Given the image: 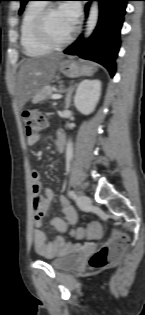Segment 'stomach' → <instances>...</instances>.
<instances>
[{
    "label": "stomach",
    "instance_id": "0dacf381",
    "mask_svg": "<svg viewBox=\"0 0 145 315\" xmlns=\"http://www.w3.org/2000/svg\"><path fill=\"white\" fill-rule=\"evenodd\" d=\"M69 70L71 71V74L67 77L74 78L82 75H91L94 73L95 68L89 63L82 64L77 61L70 60ZM61 72L64 74V71Z\"/></svg>",
    "mask_w": 145,
    "mask_h": 315
}]
</instances>
